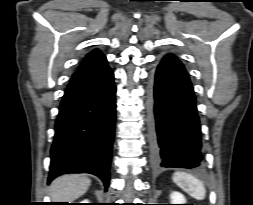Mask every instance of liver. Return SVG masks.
I'll use <instances>...</instances> for the list:
<instances>
[{"instance_id": "obj_1", "label": "liver", "mask_w": 253, "mask_h": 205, "mask_svg": "<svg viewBox=\"0 0 253 205\" xmlns=\"http://www.w3.org/2000/svg\"><path fill=\"white\" fill-rule=\"evenodd\" d=\"M91 180L85 174H66L56 178L50 186L54 202H69L81 197L88 190Z\"/></svg>"}]
</instances>
